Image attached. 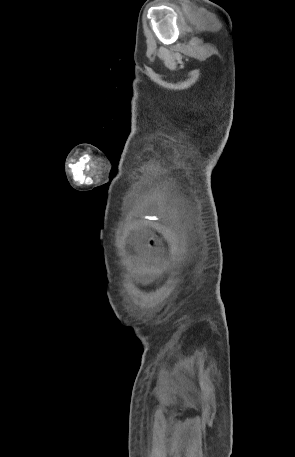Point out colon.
Wrapping results in <instances>:
<instances>
[{
	"label": "colon",
	"instance_id": "colon-1",
	"mask_svg": "<svg viewBox=\"0 0 295 457\" xmlns=\"http://www.w3.org/2000/svg\"><path fill=\"white\" fill-rule=\"evenodd\" d=\"M150 245H151L152 247H154V246L156 245V240L152 238V239L150 240Z\"/></svg>",
	"mask_w": 295,
	"mask_h": 457
}]
</instances>
